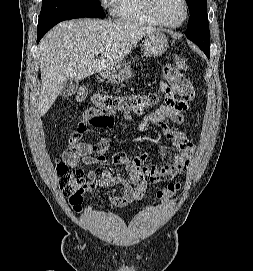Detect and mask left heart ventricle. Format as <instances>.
<instances>
[{
	"label": "left heart ventricle",
	"mask_w": 253,
	"mask_h": 271,
	"mask_svg": "<svg viewBox=\"0 0 253 271\" xmlns=\"http://www.w3.org/2000/svg\"><path fill=\"white\" fill-rule=\"evenodd\" d=\"M159 10L163 18L171 23H179L185 14L182 0H159Z\"/></svg>",
	"instance_id": "b2bd125f"
}]
</instances>
